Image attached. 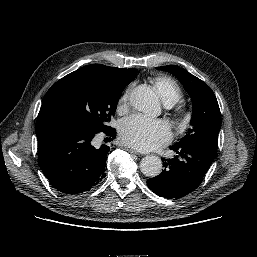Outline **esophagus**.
Here are the masks:
<instances>
[{"label": "esophagus", "mask_w": 257, "mask_h": 257, "mask_svg": "<svg viewBox=\"0 0 257 257\" xmlns=\"http://www.w3.org/2000/svg\"><path fill=\"white\" fill-rule=\"evenodd\" d=\"M125 150L132 153V154H138V152L136 150L132 149V148L126 147Z\"/></svg>", "instance_id": "obj_1"}]
</instances>
